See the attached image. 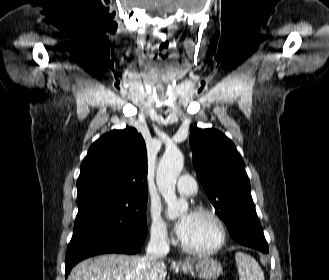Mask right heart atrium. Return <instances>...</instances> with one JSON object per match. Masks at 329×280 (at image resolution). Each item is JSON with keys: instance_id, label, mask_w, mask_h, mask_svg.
Masks as SVG:
<instances>
[{"instance_id": "right-heart-atrium-1", "label": "right heart atrium", "mask_w": 329, "mask_h": 280, "mask_svg": "<svg viewBox=\"0 0 329 280\" xmlns=\"http://www.w3.org/2000/svg\"><path fill=\"white\" fill-rule=\"evenodd\" d=\"M150 236L158 244H168L170 242L168 226L156 208L150 210Z\"/></svg>"}]
</instances>
